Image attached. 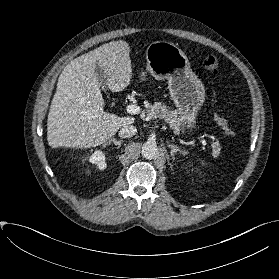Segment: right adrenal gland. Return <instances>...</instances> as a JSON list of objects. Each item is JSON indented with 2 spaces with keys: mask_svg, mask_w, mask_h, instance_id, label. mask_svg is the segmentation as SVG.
<instances>
[{
  "mask_svg": "<svg viewBox=\"0 0 279 279\" xmlns=\"http://www.w3.org/2000/svg\"><path fill=\"white\" fill-rule=\"evenodd\" d=\"M114 143L115 145H117L118 147V149L121 147V144H122V142H123V140H116L114 137L113 138H110L109 139V141L108 142H106L105 144H104V148L107 146V145H110L111 143Z\"/></svg>",
  "mask_w": 279,
  "mask_h": 279,
  "instance_id": "2a0ac1e0",
  "label": "right adrenal gland"
}]
</instances>
